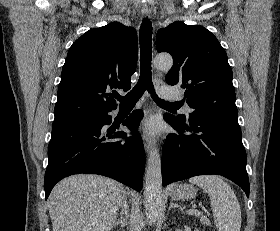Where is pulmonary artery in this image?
Wrapping results in <instances>:
<instances>
[{
    "label": "pulmonary artery",
    "mask_w": 280,
    "mask_h": 231,
    "mask_svg": "<svg viewBox=\"0 0 280 231\" xmlns=\"http://www.w3.org/2000/svg\"><path fill=\"white\" fill-rule=\"evenodd\" d=\"M160 96L166 100H177V99H182L183 97L181 92H179L178 90L174 91L173 87L166 86V85L160 88ZM186 111L188 113L191 112V110H186Z\"/></svg>",
    "instance_id": "pulmonary-artery-1"
}]
</instances>
